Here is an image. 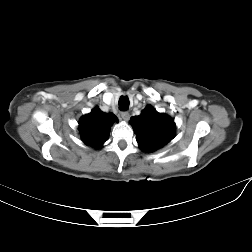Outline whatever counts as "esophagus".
<instances>
[{
	"label": "esophagus",
	"mask_w": 252,
	"mask_h": 252,
	"mask_svg": "<svg viewBox=\"0 0 252 252\" xmlns=\"http://www.w3.org/2000/svg\"><path fill=\"white\" fill-rule=\"evenodd\" d=\"M121 118L124 120V121H128L129 118H130V115L128 112H122L121 113Z\"/></svg>",
	"instance_id": "34e87169"
}]
</instances>
